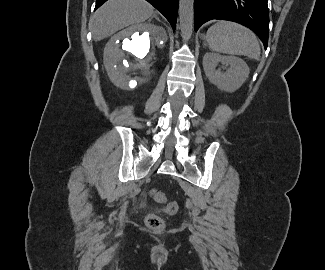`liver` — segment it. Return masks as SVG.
<instances>
[{"label": "liver", "mask_w": 325, "mask_h": 270, "mask_svg": "<svg viewBox=\"0 0 325 270\" xmlns=\"http://www.w3.org/2000/svg\"><path fill=\"white\" fill-rule=\"evenodd\" d=\"M154 14V8L144 0H108L93 15V39L100 41L117 31L142 23Z\"/></svg>", "instance_id": "1"}]
</instances>
